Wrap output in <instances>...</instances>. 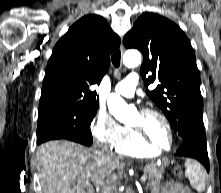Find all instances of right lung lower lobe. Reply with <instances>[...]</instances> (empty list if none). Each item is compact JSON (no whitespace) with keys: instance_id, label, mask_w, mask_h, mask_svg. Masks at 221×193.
Returning a JSON list of instances; mask_svg holds the SVG:
<instances>
[{"instance_id":"98d812e1","label":"right lung lower lobe","mask_w":221,"mask_h":193,"mask_svg":"<svg viewBox=\"0 0 221 193\" xmlns=\"http://www.w3.org/2000/svg\"><path fill=\"white\" fill-rule=\"evenodd\" d=\"M89 143H90V144H92V140H91V141H89ZM90 144H89V145H90Z\"/></svg>"}]
</instances>
